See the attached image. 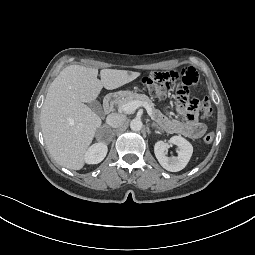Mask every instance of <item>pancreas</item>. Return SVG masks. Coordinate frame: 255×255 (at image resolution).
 <instances>
[{
  "instance_id": "1",
  "label": "pancreas",
  "mask_w": 255,
  "mask_h": 255,
  "mask_svg": "<svg viewBox=\"0 0 255 255\" xmlns=\"http://www.w3.org/2000/svg\"><path fill=\"white\" fill-rule=\"evenodd\" d=\"M131 101H142L147 103L151 108L152 111H154L155 113H157L158 111L154 108V103L151 101V99L146 96L145 94H137V93H131L129 95H126L125 97H121L120 99L117 100V104L119 106H122L128 102Z\"/></svg>"
}]
</instances>
